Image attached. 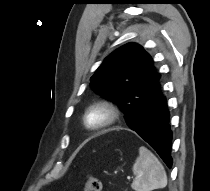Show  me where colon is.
<instances>
[{
	"instance_id": "obj_1",
	"label": "colon",
	"mask_w": 210,
	"mask_h": 191,
	"mask_svg": "<svg viewBox=\"0 0 210 191\" xmlns=\"http://www.w3.org/2000/svg\"><path fill=\"white\" fill-rule=\"evenodd\" d=\"M101 181L92 175L84 178V191H101Z\"/></svg>"
}]
</instances>
